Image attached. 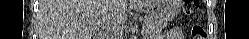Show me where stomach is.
Masks as SVG:
<instances>
[{
  "label": "stomach",
  "instance_id": "obj_1",
  "mask_svg": "<svg viewBox=\"0 0 249 39\" xmlns=\"http://www.w3.org/2000/svg\"><path fill=\"white\" fill-rule=\"evenodd\" d=\"M143 7L154 18L169 21L179 14L181 0H146Z\"/></svg>",
  "mask_w": 249,
  "mask_h": 39
}]
</instances>
